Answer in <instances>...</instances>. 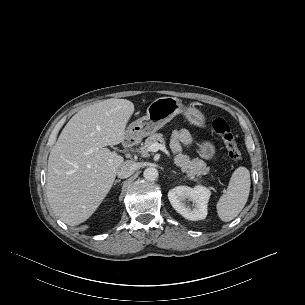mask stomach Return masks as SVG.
<instances>
[{
    "mask_svg": "<svg viewBox=\"0 0 305 305\" xmlns=\"http://www.w3.org/2000/svg\"><path fill=\"white\" fill-rule=\"evenodd\" d=\"M183 114L185 119L192 125L204 127L205 117L195 107H184L176 97L157 98L147 108L146 115L132 122L126 133L135 137L152 135L170 122L176 115ZM199 145V153L205 159H211L215 154V147L210 142Z\"/></svg>",
    "mask_w": 305,
    "mask_h": 305,
    "instance_id": "1",
    "label": "stomach"
}]
</instances>
